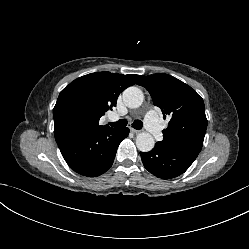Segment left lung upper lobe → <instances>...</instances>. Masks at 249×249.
<instances>
[{"label": "left lung upper lobe", "instance_id": "obj_1", "mask_svg": "<svg viewBox=\"0 0 249 249\" xmlns=\"http://www.w3.org/2000/svg\"><path fill=\"white\" fill-rule=\"evenodd\" d=\"M139 85L150 93L163 117L169 118L163 140L157 145L199 154L207 128L203 99L190 86L165 73L148 75Z\"/></svg>", "mask_w": 249, "mask_h": 249}]
</instances>
